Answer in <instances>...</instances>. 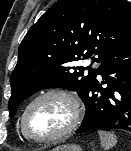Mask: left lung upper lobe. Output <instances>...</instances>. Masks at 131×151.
<instances>
[{
  "instance_id": "1",
  "label": "left lung upper lobe",
  "mask_w": 131,
  "mask_h": 151,
  "mask_svg": "<svg viewBox=\"0 0 131 151\" xmlns=\"http://www.w3.org/2000/svg\"><path fill=\"white\" fill-rule=\"evenodd\" d=\"M131 41V8L125 0H59L32 25L18 49L8 108L42 89L77 91L84 101L97 72L75 62L98 54L103 62ZM88 69V74L84 71Z\"/></svg>"
}]
</instances>
